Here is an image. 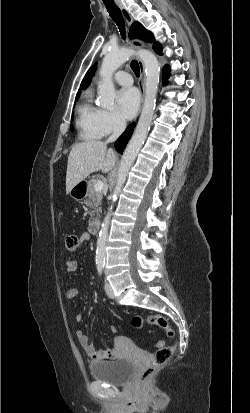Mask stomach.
<instances>
[{"label":"stomach","mask_w":250,"mask_h":413,"mask_svg":"<svg viewBox=\"0 0 250 413\" xmlns=\"http://www.w3.org/2000/svg\"><path fill=\"white\" fill-rule=\"evenodd\" d=\"M86 187L87 184L85 181H81L76 186H74L70 192L72 198L75 200H81L82 198H84L86 195Z\"/></svg>","instance_id":"obj_1"}]
</instances>
